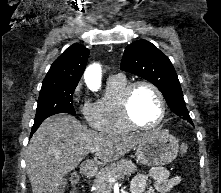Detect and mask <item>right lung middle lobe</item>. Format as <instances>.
I'll list each match as a JSON object with an SVG mask.
<instances>
[{"label": "right lung middle lobe", "instance_id": "1", "mask_svg": "<svg viewBox=\"0 0 221 193\" xmlns=\"http://www.w3.org/2000/svg\"><path fill=\"white\" fill-rule=\"evenodd\" d=\"M76 86L41 89L34 123L58 113L75 114L72 99Z\"/></svg>", "mask_w": 221, "mask_h": 193}]
</instances>
